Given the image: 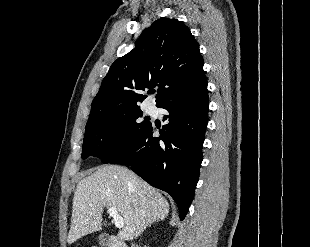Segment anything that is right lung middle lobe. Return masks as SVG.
I'll list each match as a JSON object with an SVG mask.
<instances>
[{"instance_id": "1", "label": "right lung middle lobe", "mask_w": 310, "mask_h": 247, "mask_svg": "<svg viewBox=\"0 0 310 247\" xmlns=\"http://www.w3.org/2000/svg\"><path fill=\"white\" fill-rule=\"evenodd\" d=\"M140 108L108 114L86 124L82 158L96 156L104 163L127 151L150 125L139 122Z\"/></svg>"}]
</instances>
